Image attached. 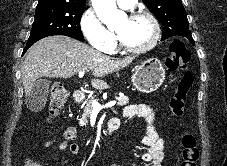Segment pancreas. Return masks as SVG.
<instances>
[{"mask_svg":"<svg viewBox=\"0 0 227 166\" xmlns=\"http://www.w3.org/2000/svg\"><path fill=\"white\" fill-rule=\"evenodd\" d=\"M116 100L118 101L119 106H124L129 102V98L127 96L116 97ZM92 111V102L89 101L86 103L82 117L79 119L80 126H86V124L88 123V117L92 114Z\"/></svg>","mask_w":227,"mask_h":166,"instance_id":"pancreas-1","label":"pancreas"}]
</instances>
